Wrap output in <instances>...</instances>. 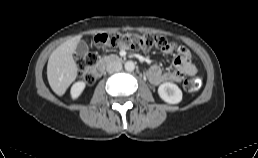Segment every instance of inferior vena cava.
I'll use <instances>...</instances> for the list:
<instances>
[{"label":"inferior vena cava","mask_w":258,"mask_h":158,"mask_svg":"<svg viewBox=\"0 0 258 158\" xmlns=\"http://www.w3.org/2000/svg\"><path fill=\"white\" fill-rule=\"evenodd\" d=\"M122 69V64L119 61L111 62L107 65L106 71L108 73L118 72Z\"/></svg>","instance_id":"1"}]
</instances>
